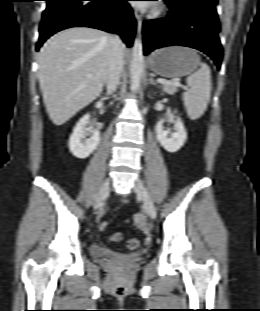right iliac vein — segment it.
Wrapping results in <instances>:
<instances>
[{"label":"right iliac vein","instance_id":"right-iliac-vein-1","mask_svg":"<svg viewBox=\"0 0 260 311\" xmlns=\"http://www.w3.org/2000/svg\"><path fill=\"white\" fill-rule=\"evenodd\" d=\"M109 191H110V181L109 179H106L96 197L94 205L95 209H98L102 206L103 201L107 198L109 194Z\"/></svg>","mask_w":260,"mask_h":311}]
</instances>
